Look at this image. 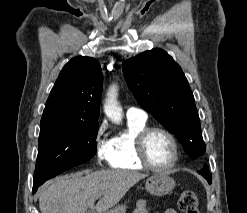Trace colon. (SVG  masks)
Listing matches in <instances>:
<instances>
[{
	"label": "colon",
	"instance_id": "5ec220e1",
	"mask_svg": "<svg viewBox=\"0 0 247 213\" xmlns=\"http://www.w3.org/2000/svg\"><path fill=\"white\" fill-rule=\"evenodd\" d=\"M178 206L183 213H200L198 198L192 190L182 191L178 200Z\"/></svg>",
	"mask_w": 247,
	"mask_h": 213
}]
</instances>
